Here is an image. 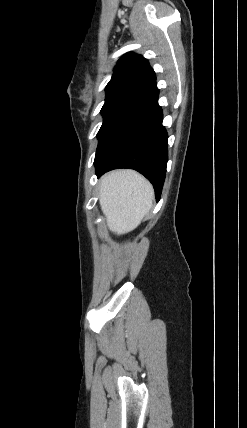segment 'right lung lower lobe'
Returning <instances> with one entry per match:
<instances>
[{
	"label": "right lung lower lobe",
	"mask_w": 247,
	"mask_h": 428,
	"mask_svg": "<svg viewBox=\"0 0 247 428\" xmlns=\"http://www.w3.org/2000/svg\"><path fill=\"white\" fill-rule=\"evenodd\" d=\"M156 84L135 98L99 137L96 174L131 168L143 174L160 199L168 160V136L162 126Z\"/></svg>",
	"instance_id": "1"
}]
</instances>
